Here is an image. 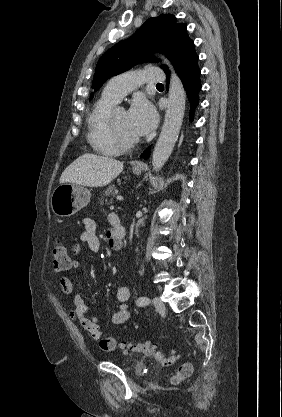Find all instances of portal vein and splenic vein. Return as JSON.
Instances as JSON below:
<instances>
[{"label": "portal vein and splenic vein", "mask_w": 282, "mask_h": 417, "mask_svg": "<svg viewBox=\"0 0 282 417\" xmlns=\"http://www.w3.org/2000/svg\"><path fill=\"white\" fill-rule=\"evenodd\" d=\"M117 198H118V200H121V202H124V199H123L122 195L117 196Z\"/></svg>", "instance_id": "1"}]
</instances>
